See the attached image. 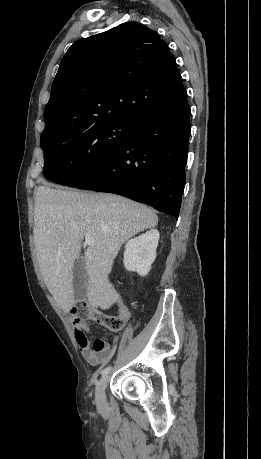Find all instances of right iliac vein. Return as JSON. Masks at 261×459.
I'll list each match as a JSON object with an SVG mask.
<instances>
[{
    "label": "right iliac vein",
    "instance_id": "1",
    "mask_svg": "<svg viewBox=\"0 0 261 459\" xmlns=\"http://www.w3.org/2000/svg\"><path fill=\"white\" fill-rule=\"evenodd\" d=\"M108 381L109 376L107 374L103 375L96 386L95 401L99 409L106 408L107 403L105 389L107 387Z\"/></svg>",
    "mask_w": 261,
    "mask_h": 459
}]
</instances>
